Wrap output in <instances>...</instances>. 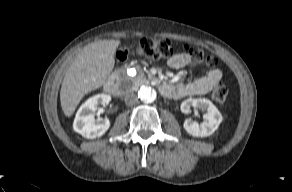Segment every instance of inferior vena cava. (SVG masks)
Here are the masks:
<instances>
[{"instance_id":"obj_1","label":"inferior vena cava","mask_w":292,"mask_h":192,"mask_svg":"<svg viewBox=\"0 0 292 192\" xmlns=\"http://www.w3.org/2000/svg\"><path fill=\"white\" fill-rule=\"evenodd\" d=\"M138 102V97L135 93L130 92L125 95V103L132 106Z\"/></svg>"}]
</instances>
